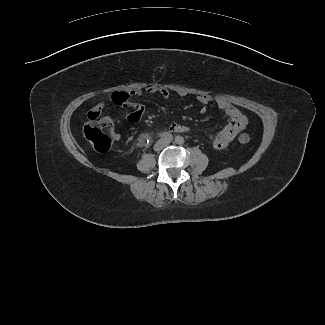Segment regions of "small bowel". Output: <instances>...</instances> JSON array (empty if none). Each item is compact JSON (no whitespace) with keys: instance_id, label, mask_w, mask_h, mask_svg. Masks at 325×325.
Returning a JSON list of instances; mask_svg holds the SVG:
<instances>
[{"instance_id":"obj_1","label":"small bowel","mask_w":325,"mask_h":325,"mask_svg":"<svg viewBox=\"0 0 325 325\" xmlns=\"http://www.w3.org/2000/svg\"><path fill=\"white\" fill-rule=\"evenodd\" d=\"M146 92L149 94H157L161 97L168 99L171 95L170 91L162 86H150L146 89ZM143 95L142 90H132L130 92H116L113 95V101L120 105L128 108L126 113V118L129 122H138L140 121L145 114V107L143 104L135 102L128 103L130 97H141ZM178 96H186V92L178 91ZM197 100L202 105H208L212 101V97L206 94L197 95ZM217 106L223 110L229 117V121L222 127V129L211 135V141L213 146L217 149L226 148L235 137L245 128L247 124V118L240 110H238L235 106L229 103L226 99L218 97L215 99ZM105 108V104L103 102L95 105L89 112L96 113L97 115H101ZM206 111L205 108L201 109V112L204 113ZM169 130L173 133H184L188 131V127L179 124L176 122H172Z\"/></svg>"}]
</instances>
